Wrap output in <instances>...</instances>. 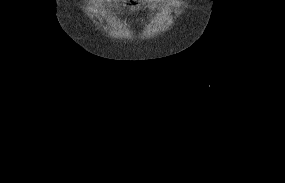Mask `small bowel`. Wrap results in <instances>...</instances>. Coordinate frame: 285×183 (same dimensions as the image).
Segmentation results:
<instances>
[{"label":"small bowel","instance_id":"small-bowel-1","mask_svg":"<svg viewBox=\"0 0 285 183\" xmlns=\"http://www.w3.org/2000/svg\"><path fill=\"white\" fill-rule=\"evenodd\" d=\"M153 1H154V0H143V2L149 3V4L153 3ZM127 9H128L129 11H134L136 8L133 7V6H131V7H128Z\"/></svg>","mask_w":285,"mask_h":183}]
</instances>
